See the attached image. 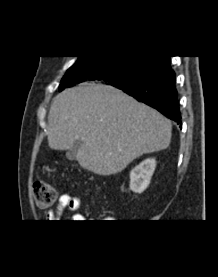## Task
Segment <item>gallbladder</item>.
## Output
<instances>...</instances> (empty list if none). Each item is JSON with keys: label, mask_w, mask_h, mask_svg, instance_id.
I'll return each mask as SVG.
<instances>
[{"label": "gallbladder", "mask_w": 218, "mask_h": 277, "mask_svg": "<svg viewBox=\"0 0 218 277\" xmlns=\"http://www.w3.org/2000/svg\"><path fill=\"white\" fill-rule=\"evenodd\" d=\"M81 146H82V141L79 139L74 143V145L71 148L67 150L66 157L69 160H76L78 150L80 149Z\"/></svg>", "instance_id": "obj_1"}]
</instances>
